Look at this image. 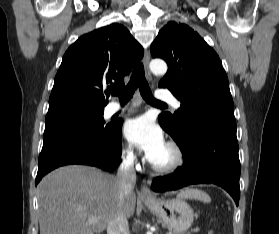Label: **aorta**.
Masks as SVG:
<instances>
[{
  "mask_svg": "<svg viewBox=\"0 0 279 234\" xmlns=\"http://www.w3.org/2000/svg\"><path fill=\"white\" fill-rule=\"evenodd\" d=\"M149 67L156 75H164L167 72V64L161 59L152 60Z\"/></svg>",
  "mask_w": 279,
  "mask_h": 234,
  "instance_id": "obj_1",
  "label": "aorta"
}]
</instances>
